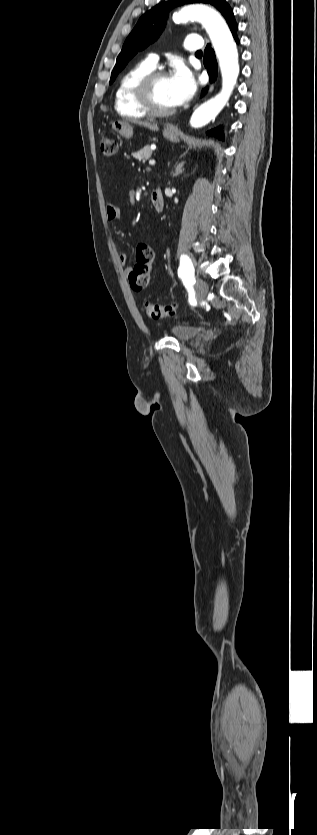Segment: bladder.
Wrapping results in <instances>:
<instances>
[{
	"mask_svg": "<svg viewBox=\"0 0 317 835\" xmlns=\"http://www.w3.org/2000/svg\"><path fill=\"white\" fill-rule=\"evenodd\" d=\"M171 333L176 340L180 342H187L199 333V328L191 325L177 323L172 326Z\"/></svg>",
	"mask_w": 317,
	"mask_h": 835,
	"instance_id": "1",
	"label": "bladder"
}]
</instances>
